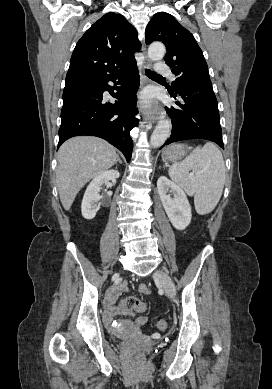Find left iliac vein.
<instances>
[{
    "label": "left iliac vein",
    "mask_w": 272,
    "mask_h": 389,
    "mask_svg": "<svg viewBox=\"0 0 272 389\" xmlns=\"http://www.w3.org/2000/svg\"><path fill=\"white\" fill-rule=\"evenodd\" d=\"M153 278L155 281H157L161 284L162 288L164 289V291L166 292V294L170 298L175 297L176 288H175V285H174L172 279L170 278V276L167 273H165L161 270H157L154 272Z\"/></svg>",
    "instance_id": "4c4485c4"
}]
</instances>
